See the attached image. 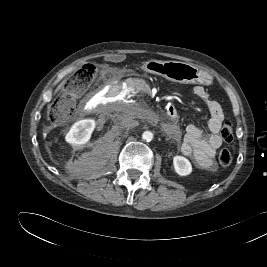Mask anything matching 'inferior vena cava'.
Here are the masks:
<instances>
[{
  "label": "inferior vena cava",
  "mask_w": 267,
  "mask_h": 267,
  "mask_svg": "<svg viewBox=\"0 0 267 267\" xmlns=\"http://www.w3.org/2000/svg\"><path fill=\"white\" fill-rule=\"evenodd\" d=\"M119 123L123 128H127V129L134 128V127L138 126V124H139L137 120H134L129 115L122 116Z\"/></svg>",
  "instance_id": "inferior-vena-cava-1"
}]
</instances>
